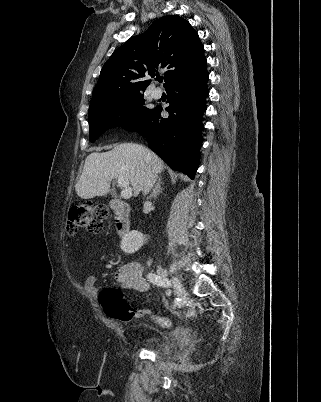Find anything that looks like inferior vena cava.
Masks as SVG:
<instances>
[{
  "label": "inferior vena cava",
  "instance_id": "602c4592",
  "mask_svg": "<svg viewBox=\"0 0 321 402\" xmlns=\"http://www.w3.org/2000/svg\"><path fill=\"white\" fill-rule=\"evenodd\" d=\"M156 179H157V174L152 169H148L145 179L143 181V186H142L143 195L148 194V192L151 190V188L155 184Z\"/></svg>",
  "mask_w": 321,
  "mask_h": 402
}]
</instances>
